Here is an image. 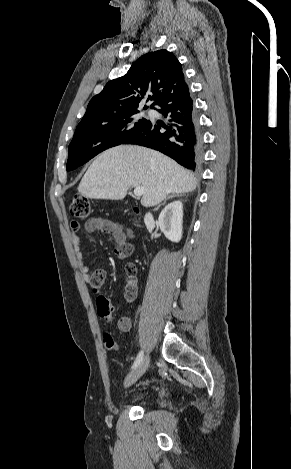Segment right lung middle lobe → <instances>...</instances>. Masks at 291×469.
I'll list each match as a JSON object with an SVG mask.
<instances>
[{
	"label": "right lung middle lobe",
	"instance_id": "right-lung-middle-lobe-1",
	"mask_svg": "<svg viewBox=\"0 0 291 469\" xmlns=\"http://www.w3.org/2000/svg\"><path fill=\"white\" fill-rule=\"evenodd\" d=\"M133 110L96 120L81 121L69 145L67 171L86 163L98 153L122 144L148 120L138 119Z\"/></svg>",
	"mask_w": 291,
	"mask_h": 469
}]
</instances>
